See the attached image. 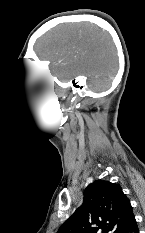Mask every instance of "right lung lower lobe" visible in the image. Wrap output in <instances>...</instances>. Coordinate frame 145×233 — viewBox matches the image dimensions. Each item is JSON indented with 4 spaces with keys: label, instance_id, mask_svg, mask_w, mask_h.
Here are the masks:
<instances>
[{
    "label": "right lung lower lobe",
    "instance_id": "98d812e1",
    "mask_svg": "<svg viewBox=\"0 0 145 233\" xmlns=\"http://www.w3.org/2000/svg\"><path fill=\"white\" fill-rule=\"evenodd\" d=\"M121 233H139L135 217H133L128 226Z\"/></svg>",
    "mask_w": 145,
    "mask_h": 233
}]
</instances>
